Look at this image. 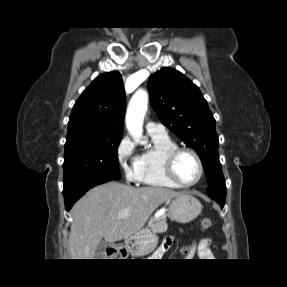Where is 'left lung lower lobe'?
Here are the masks:
<instances>
[{
  "instance_id": "obj_1",
  "label": "left lung lower lobe",
  "mask_w": 287,
  "mask_h": 287,
  "mask_svg": "<svg viewBox=\"0 0 287 287\" xmlns=\"http://www.w3.org/2000/svg\"><path fill=\"white\" fill-rule=\"evenodd\" d=\"M212 199L215 200L221 206V208H223L225 204V200H220V199H215V198H212Z\"/></svg>"
}]
</instances>
